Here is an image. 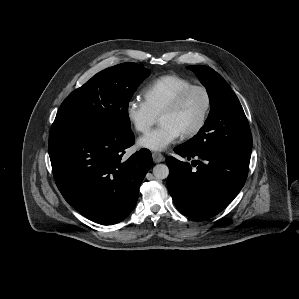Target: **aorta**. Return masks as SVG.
<instances>
[{
	"mask_svg": "<svg viewBox=\"0 0 299 299\" xmlns=\"http://www.w3.org/2000/svg\"><path fill=\"white\" fill-rule=\"evenodd\" d=\"M153 175L156 179L162 180L168 177L169 175V168L165 164H157L153 168Z\"/></svg>",
	"mask_w": 299,
	"mask_h": 299,
	"instance_id": "1",
	"label": "aorta"
}]
</instances>
